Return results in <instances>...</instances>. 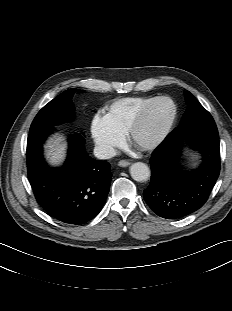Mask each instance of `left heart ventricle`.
Listing matches in <instances>:
<instances>
[{
  "label": "left heart ventricle",
  "instance_id": "b2bd125f",
  "mask_svg": "<svg viewBox=\"0 0 232 311\" xmlns=\"http://www.w3.org/2000/svg\"><path fill=\"white\" fill-rule=\"evenodd\" d=\"M171 113L172 107L168 102L156 104L135 132L133 138L134 144L141 146L154 139L169 120Z\"/></svg>",
  "mask_w": 232,
  "mask_h": 311
}]
</instances>
